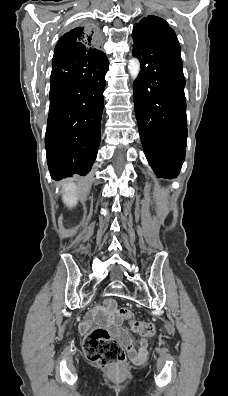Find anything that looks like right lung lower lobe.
<instances>
[{"label":"right lung lower lobe","mask_w":228,"mask_h":396,"mask_svg":"<svg viewBox=\"0 0 228 396\" xmlns=\"http://www.w3.org/2000/svg\"><path fill=\"white\" fill-rule=\"evenodd\" d=\"M108 65L98 49L54 54L45 146L55 180L86 175L96 159Z\"/></svg>","instance_id":"1"}]
</instances>
